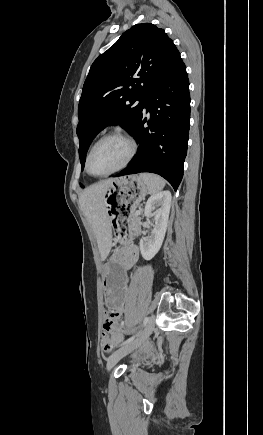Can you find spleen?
<instances>
[{"instance_id":"obj_1","label":"spleen","mask_w":263,"mask_h":435,"mask_svg":"<svg viewBox=\"0 0 263 435\" xmlns=\"http://www.w3.org/2000/svg\"><path fill=\"white\" fill-rule=\"evenodd\" d=\"M139 177L146 183L150 194L159 192L165 186L164 179L155 174L142 173Z\"/></svg>"}]
</instances>
